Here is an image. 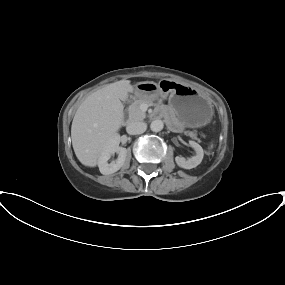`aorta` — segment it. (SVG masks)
Returning a JSON list of instances; mask_svg holds the SVG:
<instances>
[{"label":"aorta","mask_w":285,"mask_h":285,"mask_svg":"<svg viewBox=\"0 0 285 285\" xmlns=\"http://www.w3.org/2000/svg\"><path fill=\"white\" fill-rule=\"evenodd\" d=\"M164 127V123L162 120H154L151 122L150 124V129L153 131V132H160Z\"/></svg>","instance_id":"obj_1"}]
</instances>
